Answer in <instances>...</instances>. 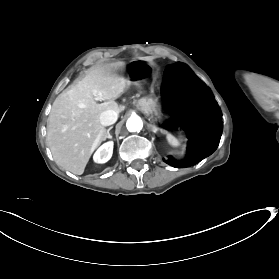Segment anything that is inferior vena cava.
I'll list each match as a JSON object with an SVG mask.
<instances>
[{
    "mask_svg": "<svg viewBox=\"0 0 279 279\" xmlns=\"http://www.w3.org/2000/svg\"><path fill=\"white\" fill-rule=\"evenodd\" d=\"M117 120V112L114 110H107L101 113L100 121L102 125H111Z\"/></svg>",
    "mask_w": 279,
    "mask_h": 279,
    "instance_id": "inferior-vena-cava-1",
    "label": "inferior vena cava"
}]
</instances>
